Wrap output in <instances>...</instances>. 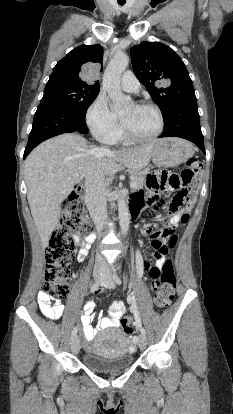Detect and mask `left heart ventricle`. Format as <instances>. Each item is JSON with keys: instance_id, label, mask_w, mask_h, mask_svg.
Masks as SVG:
<instances>
[{"instance_id": "1", "label": "left heart ventricle", "mask_w": 233, "mask_h": 414, "mask_svg": "<svg viewBox=\"0 0 233 414\" xmlns=\"http://www.w3.org/2000/svg\"><path fill=\"white\" fill-rule=\"evenodd\" d=\"M120 117L129 129L138 136H150L159 128V117L151 108L130 104L120 112Z\"/></svg>"}]
</instances>
